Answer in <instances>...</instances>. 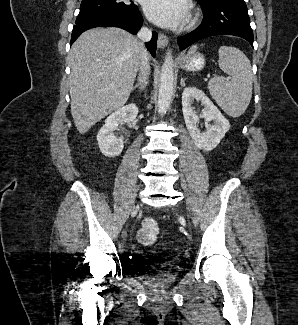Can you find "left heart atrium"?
<instances>
[{
  "mask_svg": "<svg viewBox=\"0 0 298 325\" xmlns=\"http://www.w3.org/2000/svg\"><path fill=\"white\" fill-rule=\"evenodd\" d=\"M143 10L149 21L162 28L179 27L188 17L183 0H145Z\"/></svg>",
  "mask_w": 298,
  "mask_h": 325,
  "instance_id": "left-heart-atrium-1",
  "label": "left heart atrium"
}]
</instances>
